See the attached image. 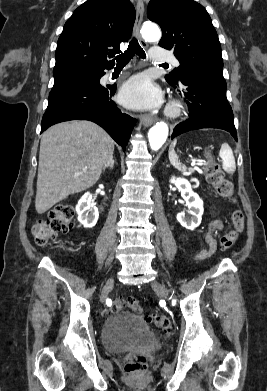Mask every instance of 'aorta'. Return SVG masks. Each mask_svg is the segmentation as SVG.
I'll list each match as a JSON object with an SVG mask.
<instances>
[{
    "mask_svg": "<svg viewBox=\"0 0 267 391\" xmlns=\"http://www.w3.org/2000/svg\"><path fill=\"white\" fill-rule=\"evenodd\" d=\"M142 36L150 42H158L161 38V31L156 24L144 23L141 29ZM168 126L165 122H157L148 132L150 147L159 150L168 137Z\"/></svg>",
    "mask_w": 267,
    "mask_h": 391,
    "instance_id": "1",
    "label": "aorta"
}]
</instances>
